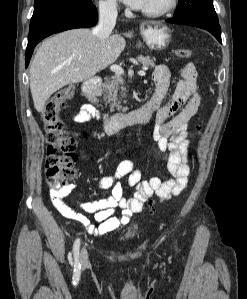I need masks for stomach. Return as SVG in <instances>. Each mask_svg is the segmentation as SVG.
I'll return each instance as SVG.
<instances>
[{
  "instance_id": "0dacf381",
  "label": "stomach",
  "mask_w": 247,
  "mask_h": 299,
  "mask_svg": "<svg viewBox=\"0 0 247 299\" xmlns=\"http://www.w3.org/2000/svg\"><path fill=\"white\" fill-rule=\"evenodd\" d=\"M141 35L151 50H163L171 42L170 29L160 22H146L141 25Z\"/></svg>"
}]
</instances>
